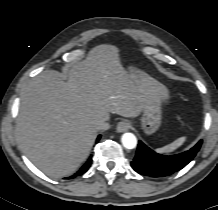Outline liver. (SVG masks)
I'll use <instances>...</instances> for the list:
<instances>
[{
  "mask_svg": "<svg viewBox=\"0 0 218 210\" xmlns=\"http://www.w3.org/2000/svg\"><path fill=\"white\" fill-rule=\"evenodd\" d=\"M148 93L169 99L163 84L145 73L142 82L136 81L115 47L99 45L70 68L67 81L55 71H45L25 87L17 118L21 147L45 174L71 175L87 159L97 123L108 121L110 113L137 117Z\"/></svg>",
  "mask_w": 218,
  "mask_h": 210,
  "instance_id": "liver-1",
  "label": "liver"
}]
</instances>
